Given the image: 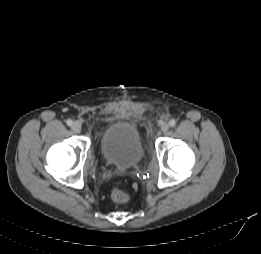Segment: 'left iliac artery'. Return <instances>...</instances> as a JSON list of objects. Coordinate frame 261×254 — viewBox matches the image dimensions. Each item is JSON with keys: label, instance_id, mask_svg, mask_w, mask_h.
<instances>
[{"label": "left iliac artery", "instance_id": "obj_1", "mask_svg": "<svg viewBox=\"0 0 261 254\" xmlns=\"http://www.w3.org/2000/svg\"><path fill=\"white\" fill-rule=\"evenodd\" d=\"M169 125H170L171 127H174V126L176 125V121H175L174 119H171V120L169 121Z\"/></svg>", "mask_w": 261, "mask_h": 254}]
</instances>
